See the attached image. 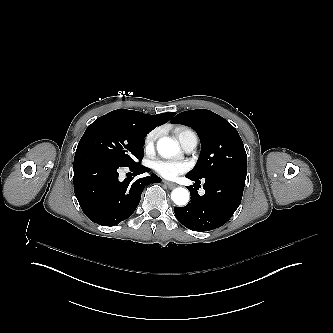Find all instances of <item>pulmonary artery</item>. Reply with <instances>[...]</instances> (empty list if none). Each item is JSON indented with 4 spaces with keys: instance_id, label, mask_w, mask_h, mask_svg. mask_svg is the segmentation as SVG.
Wrapping results in <instances>:
<instances>
[{
    "instance_id": "obj_1",
    "label": "pulmonary artery",
    "mask_w": 333,
    "mask_h": 333,
    "mask_svg": "<svg viewBox=\"0 0 333 333\" xmlns=\"http://www.w3.org/2000/svg\"><path fill=\"white\" fill-rule=\"evenodd\" d=\"M178 139L186 152H192L197 147L198 138L196 133L191 129H186L178 136Z\"/></svg>"
}]
</instances>
